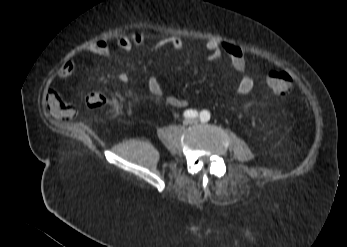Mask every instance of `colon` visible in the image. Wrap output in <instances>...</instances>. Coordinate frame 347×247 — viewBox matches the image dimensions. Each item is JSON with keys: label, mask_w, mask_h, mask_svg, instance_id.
<instances>
[{"label": "colon", "mask_w": 347, "mask_h": 247, "mask_svg": "<svg viewBox=\"0 0 347 247\" xmlns=\"http://www.w3.org/2000/svg\"><path fill=\"white\" fill-rule=\"evenodd\" d=\"M270 90L277 96H286L293 87V80L288 72L282 69L270 72L267 78ZM106 98L99 92L87 94L82 99V104L87 109H97L102 107Z\"/></svg>", "instance_id": "5ec220e1"}]
</instances>
